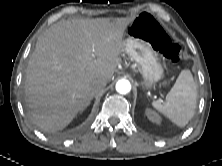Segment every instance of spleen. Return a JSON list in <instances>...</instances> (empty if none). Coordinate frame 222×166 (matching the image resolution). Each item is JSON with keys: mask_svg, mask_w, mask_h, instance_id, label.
Returning <instances> with one entry per match:
<instances>
[{"mask_svg": "<svg viewBox=\"0 0 222 166\" xmlns=\"http://www.w3.org/2000/svg\"><path fill=\"white\" fill-rule=\"evenodd\" d=\"M197 90L190 70H182L166 100L153 101L152 106L178 127H184L192 119L196 108Z\"/></svg>", "mask_w": 222, "mask_h": 166, "instance_id": "1", "label": "spleen"}]
</instances>
